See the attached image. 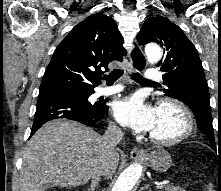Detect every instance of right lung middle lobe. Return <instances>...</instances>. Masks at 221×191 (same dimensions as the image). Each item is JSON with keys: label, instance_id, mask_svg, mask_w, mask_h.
<instances>
[{"label": "right lung middle lobe", "instance_id": "obj_1", "mask_svg": "<svg viewBox=\"0 0 221 191\" xmlns=\"http://www.w3.org/2000/svg\"><path fill=\"white\" fill-rule=\"evenodd\" d=\"M91 93H93V90H91V91H85V92H83V93H81V96L83 97V98H85V99H88V97L91 95ZM88 103V102H87ZM89 105H92V104H90V103H88Z\"/></svg>", "mask_w": 221, "mask_h": 191}]
</instances>
